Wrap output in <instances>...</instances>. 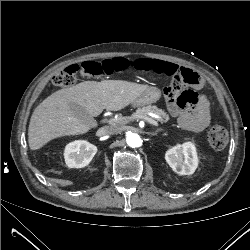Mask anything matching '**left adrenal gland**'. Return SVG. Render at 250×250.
<instances>
[{"instance_id":"left-adrenal-gland-1","label":"left adrenal gland","mask_w":250,"mask_h":250,"mask_svg":"<svg viewBox=\"0 0 250 250\" xmlns=\"http://www.w3.org/2000/svg\"><path fill=\"white\" fill-rule=\"evenodd\" d=\"M163 131V129H158L157 131L152 133V136H157L158 132Z\"/></svg>"}]
</instances>
